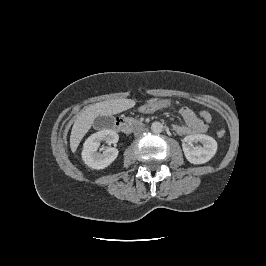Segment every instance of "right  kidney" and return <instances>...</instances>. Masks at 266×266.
<instances>
[{
	"mask_svg": "<svg viewBox=\"0 0 266 266\" xmlns=\"http://www.w3.org/2000/svg\"><path fill=\"white\" fill-rule=\"evenodd\" d=\"M119 136L115 131L104 129L92 134L84 143L82 159L84 163L92 169H104L108 167L118 156L116 148L108 147L103 153L98 152L101 141L108 144L117 143Z\"/></svg>",
	"mask_w": 266,
	"mask_h": 266,
	"instance_id": "obj_1",
	"label": "right kidney"
}]
</instances>
